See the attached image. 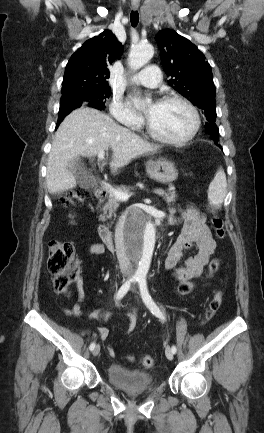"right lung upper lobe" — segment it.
Masks as SVG:
<instances>
[{"label":"right lung upper lobe","instance_id":"1","mask_svg":"<svg viewBox=\"0 0 264 433\" xmlns=\"http://www.w3.org/2000/svg\"><path fill=\"white\" fill-rule=\"evenodd\" d=\"M123 50L124 46L110 30L86 41L66 65L62 97L79 90L108 86V67Z\"/></svg>","mask_w":264,"mask_h":433}]
</instances>
